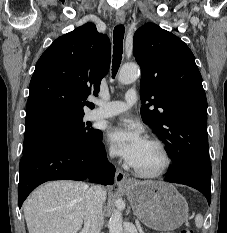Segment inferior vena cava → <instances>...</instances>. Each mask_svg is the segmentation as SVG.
Returning <instances> with one entry per match:
<instances>
[{"instance_id": "inferior-vena-cava-1", "label": "inferior vena cava", "mask_w": 227, "mask_h": 233, "mask_svg": "<svg viewBox=\"0 0 227 233\" xmlns=\"http://www.w3.org/2000/svg\"><path fill=\"white\" fill-rule=\"evenodd\" d=\"M104 201L103 188L100 185L91 186L85 195L84 232L100 233L104 217L102 206Z\"/></svg>"}]
</instances>
